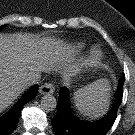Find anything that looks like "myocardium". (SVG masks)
Instances as JSON below:
<instances>
[{"label": "myocardium", "mask_w": 135, "mask_h": 135, "mask_svg": "<svg viewBox=\"0 0 135 135\" xmlns=\"http://www.w3.org/2000/svg\"><path fill=\"white\" fill-rule=\"evenodd\" d=\"M101 57H102L101 50L98 49V48H94L90 52L88 63L91 64V65H94V64H96L100 61Z\"/></svg>", "instance_id": "myocardium-1"}]
</instances>
